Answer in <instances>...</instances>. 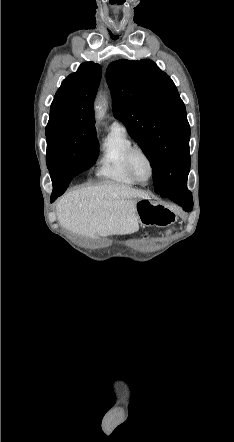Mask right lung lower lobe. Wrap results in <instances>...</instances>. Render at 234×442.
Wrapping results in <instances>:
<instances>
[{"mask_svg":"<svg viewBox=\"0 0 234 442\" xmlns=\"http://www.w3.org/2000/svg\"><path fill=\"white\" fill-rule=\"evenodd\" d=\"M49 171L53 183V192L51 195V202H53L65 192L75 174L73 166L70 163L56 166Z\"/></svg>","mask_w":234,"mask_h":442,"instance_id":"1","label":"right lung lower lobe"}]
</instances>
